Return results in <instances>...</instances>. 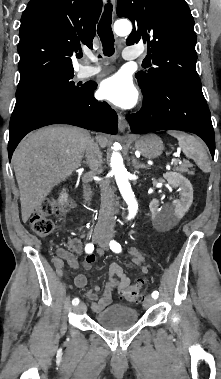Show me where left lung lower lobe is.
<instances>
[{"mask_svg":"<svg viewBox=\"0 0 221 379\" xmlns=\"http://www.w3.org/2000/svg\"><path fill=\"white\" fill-rule=\"evenodd\" d=\"M142 109L131 114V132L145 134L158 130H182L197 134L215 152L211 114L202 89L156 80L144 90Z\"/></svg>","mask_w":221,"mask_h":379,"instance_id":"1","label":"left lung lower lobe"}]
</instances>
